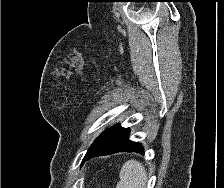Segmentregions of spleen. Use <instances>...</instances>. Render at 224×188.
I'll return each mask as SVG.
<instances>
[{
	"label": "spleen",
	"mask_w": 224,
	"mask_h": 188,
	"mask_svg": "<svg viewBox=\"0 0 224 188\" xmlns=\"http://www.w3.org/2000/svg\"><path fill=\"white\" fill-rule=\"evenodd\" d=\"M120 181L116 188H145L147 182L143 165L136 160L125 162L120 171Z\"/></svg>",
	"instance_id": "obj_1"
}]
</instances>
